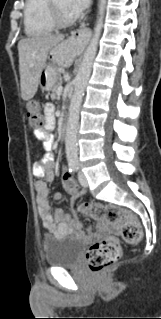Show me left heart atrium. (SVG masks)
Here are the masks:
<instances>
[{
  "mask_svg": "<svg viewBox=\"0 0 161 319\" xmlns=\"http://www.w3.org/2000/svg\"><path fill=\"white\" fill-rule=\"evenodd\" d=\"M66 6L68 11L73 16H79L82 11L87 8L90 3V0H66Z\"/></svg>",
  "mask_w": 161,
  "mask_h": 319,
  "instance_id": "left-heart-atrium-1",
  "label": "left heart atrium"
}]
</instances>
